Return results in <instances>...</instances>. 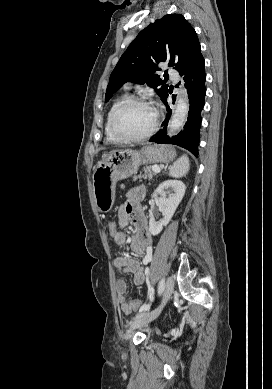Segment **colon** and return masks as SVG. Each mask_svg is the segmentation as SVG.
I'll use <instances>...</instances> for the list:
<instances>
[{
    "instance_id": "1",
    "label": "colon",
    "mask_w": 272,
    "mask_h": 389,
    "mask_svg": "<svg viewBox=\"0 0 272 389\" xmlns=\"http://www.w3.org/2000/svg\"><path fill=\"white\" fill-rule=\"evenodd\" d=\"M119 223L117 221H109L108 223V231H109V234L114 237L119 231ZM130 305V307L132 308L133 311H141L143 309L146 308L145 304H143L142 302H140L139 300H131L129 301L128 303Z\"/></svg>"
}]
</instances>
